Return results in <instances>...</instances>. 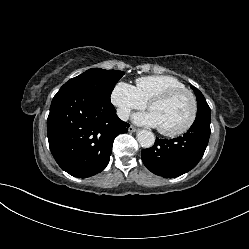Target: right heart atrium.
I'll use <instances>...</instances> for the list:
<instances>
[{
    "instance_id": "right-heart-atrium-1",
    "label": "right heart atrium",
    "mask_w": 249,
    "mask_h": 249,
    "mask_svg": "<svg viewBox=\"0 0 249 249\" xmlns=\"http://www.w3.org/2000/svg\"><path fill=\"white\" fill-rule=\"evenodd\" d=\"M111 102L122 119H127L132 110L143 109L147 105L136 88L124 81L114 85L111 91Z\"/></svg>"
}]
</instances>
